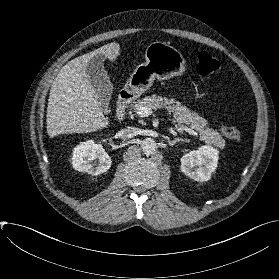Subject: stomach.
<instances>
[{
  "instance_id": "1",
  "label": "stomach",
  "mask_w": 279,
  "mask_h": 279,
  "mask_svg": "<svg viewBox=\"0 0 279 279\" xmlns=\"http://www.w3.org/2000/svg\"><path fill=\"white\" fill-rule=\"evenodd\" d=\"M145 63L140 64L131 74L128 84L135 91L146 90L154 81L181 76L186 61L183 55L165 42H153L145 51Z\"/></svg>"
}]
</instances>
